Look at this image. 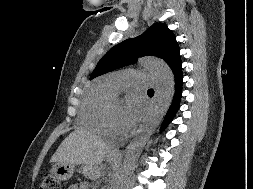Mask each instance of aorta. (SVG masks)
<instances>
[{
	"label": "aorta",
	"mask_w": 253,
	"mask_h": 189,
	"mask_svg": "<svg viewBox=\"0 0 253 189\" xmlns=\"http://www.w3.org/2000/svg\"><path fill=\"white\" fill-rule=\"evenodd\" d=\"M140 65L148 68L155 76L157 89L142 125L127 147L123 164L115 179L113 189H122L123 181L135 169L139 157L166 114L175 91V79L170 67L163 61L146 57L140 60Z\"/></svg>",
	"instance_id": "aorta-1"
}]
</instances>
